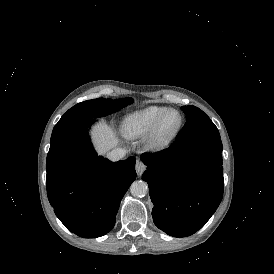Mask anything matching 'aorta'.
I'll use <instances>...</instances> for the list:
<instances>
[{"label": "aorta", "instance_id": "1", "mask_svg": "<svg viewBox=\"0 0 274 274\" xmlns=\"http://www.w3.org/2000/svg\"><path fill=\"white\" fill-rule=\"evenodd\" d=\"M130 192L134 197H144L148 192V184L143 180L134 181L130 186Z\"/></svg>", "mask_w": 274, "mask_h": 274}]
</instances>
